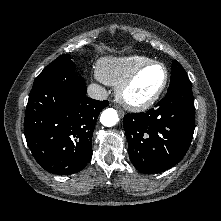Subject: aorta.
Here are the masks:
<instances>
[{"label": "aorta", "mask_w": 221, "mask_h": 221, "mask_svg": "<svg viewBox=\"0 0 221 221\" xmlns=\"http://www.w3.org/2000/svg\"><path fill=\"white\" fill-rule=\"evenodd\" d=\"M118 121H119L118 113L113 108L105 109L100 116L101 124L106 127H112L116 125Z\"/></svg>", "instance_id": "762f6f07"}]
</instances>
